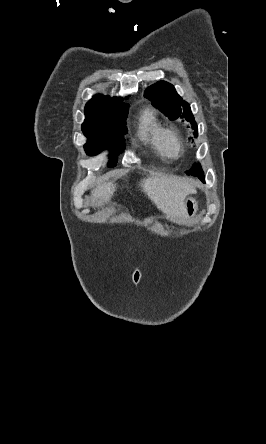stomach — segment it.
I'll return each instance as SVG.
<instances>
[{
    "label": "stomach",
    "instance_id": "1",
    "mask_svg": "<svg viewBox=\"0 0 266 444\" xmlns=\"http://www.w3.org/2000/svg\"><path fill=\"white\" fill-rule=\"evenodd\" d=\"M197 201L193 197H188L184 201V217L187 221H192L197 213Z\"/></svg>",
    "mask_w": 266,
    "mask_h": 444
}]
</instances>
